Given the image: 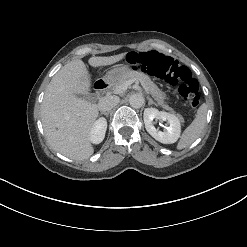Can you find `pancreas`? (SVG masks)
Returning <instances> with one entry per match:
<instances>
[{
  "label": "pancreas",
  "instance_id": "obj_1",
  "mask_svg": "<svg viewBox=\"0 0 247 247\" xmlns=\"http://www.w3.org/2000/svg\"><path fill=\"white\" fill-rule=\"evenodd\" d=\"M130 79L134 81H140L142 84H144L147 87L150 94L152 95V97L157 101V104L159 106H161L163 109L170 111L171 113H175L174 110L164 102V99L166 97L165 93L158 88V86L150 79L148 75L139 72L129 71L119 79V81L116 84V88L118 86L123 85L127 80ZM176 116L181 122H184V119L180 114H176Z\"/></svg>",
  "mask_w": 247,
  "mask_h": 247
}]
</instances>
